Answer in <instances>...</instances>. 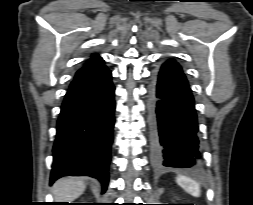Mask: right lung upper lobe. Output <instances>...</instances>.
<instances>
[{
	"label": "right lung upper lobe",
	"instance_id": "1",
	"mask_svg": "<svg viewBox=\"0 0 253 205\" xmlns=\"http://www.w3.org/2000/svg\"><path fill=\"white\" fill-rule=\"evenodd\" d=\"M97 60H101V57L98 56L97 54H93V55L91 56V58L86 62L85 66H86V65H89V64H92V63H94V62L97 61Z\"/></svg>",
	"mask_w": 253,
	"mask_h": 205
}]
</instances>
